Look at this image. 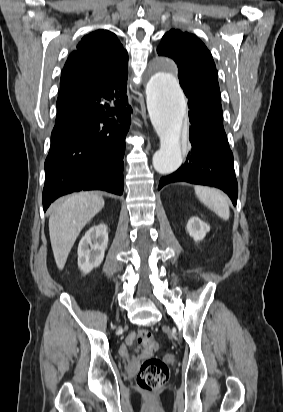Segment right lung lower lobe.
Returning a JSON list of instances; mask_svg holds the SVG:
<instances>
[{
  "label": "right lung lower lobe",
  "instance_id": "right-lung-lower-lobe-1",
  "mask_svg": "<svg viewBox=\"0 0 283 412\" xmlns=\"http://www.w3.org/2000/svg\"><path fill=\"white\" fill-rule=\"evenodd\" d=\"M65 70L62 77L69 76ZM126 86H102L57 113L45 161L44 211L71 192L123 193L125 137L132 112Z\"/></svg>",
  "mask_w": 283,
  "mask_h": 412
}]
</instances>
